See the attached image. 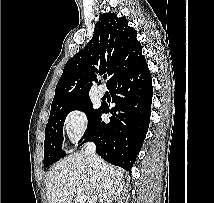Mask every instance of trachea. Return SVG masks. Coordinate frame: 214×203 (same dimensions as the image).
Instances as JSON below:
<instances>
[{
  "instance_id": "1",
  "label": "trachea",
  "mask_w": 214,
  "mask_h": 203,
  "mask_svg": "<svg viewBox=\"0 0 214 203\" xmlns=\"http://www.w3.org/2000/svg\"><path fill=\"white\" fill-rule=\"evenodd\" d=\"M107 78V76H104V79H106Z\"/></svg>"
}]
</instances>
